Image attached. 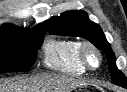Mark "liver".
<instances>
[{
  "label": "liver",
  "mask_w": 127,
  "mask_h": 92,
  "mask_svg": "<svg viewBox=\"0 0 127 92\" xmlns=\"http://www.w3.org/2000/svg\"><path fill=\"white\" fill-rule=\"evenodd\" d=\"M87 81L68 76L40 75L11 83H0V92H71Z\"/></svg>",
  "instance_id": "obj_1"
}]
</instances>
